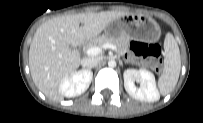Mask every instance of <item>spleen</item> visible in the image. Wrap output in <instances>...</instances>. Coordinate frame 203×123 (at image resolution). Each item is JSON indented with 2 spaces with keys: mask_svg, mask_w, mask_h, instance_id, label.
<instances>
[{
  "mask_svg": "<svg viewBox=\"0 0 203 123\" xmlns=\"http://www.w3.org/2000/svg\"><path fill=\"white\" fill-rule=\"evenodd\" d=\"M165 54V69L158 80V87L162 95L174 90L181 70L180 51L173 38H169L166 42Z\"/></svg>",
  "mask_w": 203,
  "mask_h": 123,
  "instance_id": "3e777b00",
  "label": "spleen"
}]
</instances>
